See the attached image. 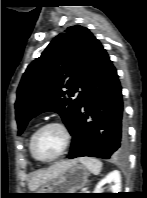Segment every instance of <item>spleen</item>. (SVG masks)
Instances as JSON below:
<instances>
[{"instance_id":"spleen-1","label":"spleen","mask_w":147,"mask_h":198,"mask_svg":"<svg viewBox=\"0 0 147 198\" xmlns=\"http://www.w3.org/2000/svg\"><path fill=\"white\" fill-rule=\"evenodd\" d=\"M80 162L93 174L98 175L102 169V162L96 158L82 157Z\"/></svg>"}]
</instances>
